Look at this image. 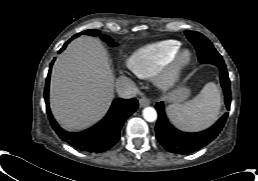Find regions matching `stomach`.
I'll list each match as a JSON object with an SVG mask.
<instances>
[{
  "instance_id": "1",
  "label": "stomach",
  "mask_w": 258,
  "mask_h": 181,
  "mask_svg": "<svg viewBox=\"0 0 258 181\" xmlns=\"http://www.w3.org/2000/svg\"><path fill=\"white\" fill-rule=\"evenodd\" d=\"M190 96V90L186 87L180 86L177 89L169 93L165 99L168 102L172 103H181L184 102Z\"/></svg>"
}]
</instances>
